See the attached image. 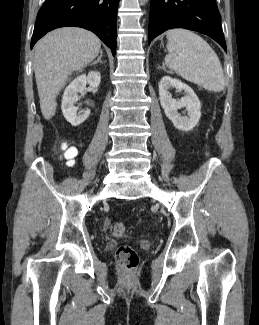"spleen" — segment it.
Returning a JSON list of instances; mask_svg holds the SVG:
<instances>
[{"mask_svg":"<svg viewBox=\"0 0 259 325\" xmlns=\"http://www.w3.org/2000/svg\"><path fill=\"white\" fill-rule=\"evenodd\" d=\"M166 66L187 81L209 91L225 87L223 69L211 46L199 35L186 29L167 31Z\"/></svg>","mask_w":259,"mask_h":325,"instance_id":"3e777b00","label":"spleen"}]
</instances>
